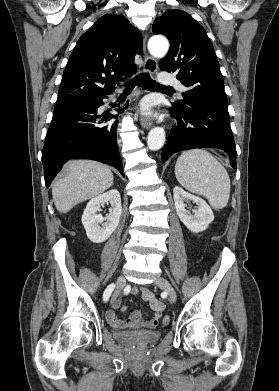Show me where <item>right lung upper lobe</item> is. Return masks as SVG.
<instances>
[{"label": "right lung upper lobe", "mask_w": 279, "mask_h": 391, "mask_svg": "<svg viewBox=\"0 0 279 391\" xmlns=\"http://www.w3.org/2000/svg\"><path fill=\"white\" fill-rule=\"evenodd\" d=\"M143 41L120 15L106 14L78 40L63 72L56 107L111 94L123 77L136 72Z\"/></svg>", "instance_id": "1"}]
</instances>
